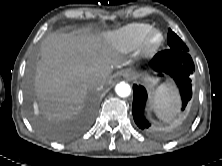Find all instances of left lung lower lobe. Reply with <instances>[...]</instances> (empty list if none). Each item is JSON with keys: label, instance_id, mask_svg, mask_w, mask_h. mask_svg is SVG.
Listing matches in <instances>:
<instances>
[{"label": "left lung lower lobe", "instance_id": "1", "mask_svg": "<svg viewBox=\"0 0 222 166\" xmlns=\"http://www.w3.org/2000/svg\"><path fill=\"white\" fill-rule=\"evenodd\" d=\"M151 66L160 73V76L164 73L175 81L182 99V110H184L192 96L191 75L195 71L189 51L176 49L160 51L152 59ZM133 93L132 113L134 121L141 130H147L151 126L144 116L147 92L143 86L133 85Z\"/></svg>", "mask_w": 222, "mask_h": 166}]
</instances>
